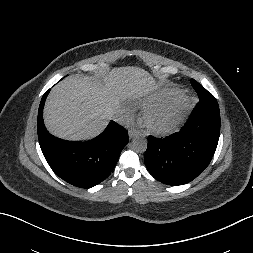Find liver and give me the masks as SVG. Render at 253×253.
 I'll use <instances>...</instances> for the list:
<instances>
[{"label":"liver","instance_id":"liver-1","mask_svg":"<svg viewBox=\"0 0 253 253\" xmlns=\"http://www.w3.org/2000/svg\"><path fill=\"white\" fill-rule=\"evenodd\" d=\"M157 88L154 78L134 66L113 68L100 83L75 74L57 84L44 107L48 131L62 139L87 140L101 133L121 101Z\"/></svg>","mask_w":253,"mask_h":253}]
</instances>
